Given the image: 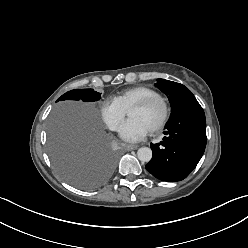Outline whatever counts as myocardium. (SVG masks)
Listing matches in <instances>:
<instances>
[{
  "label": "myocardium",
  "instance_id": "obj_1",
  "mask_svg": "<svg viewBox=\"0 0 248 248\" xmlns=\"http://www.w3.org/2000/svg\"><path fill=\"white\" fill-rule=\"evenodd\" d=\"M155 103H159L161 105L162 113L158 122L149 129L150 133H158L166 126L171 113L170 105L167 99L164 96L157 93L155 95L149 96L135 103L129 109V111L132 109L143 110L149 108Z\"/></svg>",
  "mask_w": 248,
  "mask_h": 248
}]
</instances>
